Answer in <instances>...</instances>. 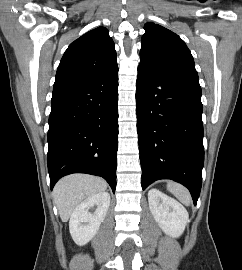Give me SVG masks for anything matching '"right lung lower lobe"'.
Instances as JSON below:
<instances>
[{
    "instance_id": "right-lung-lower-lobe-1",
    "label": "right lung lower lobe",
    "mask_w": 242,
    "mask_h": 270,
    "mask_svg": "<svg viewBox=\"0 0 242 270\" xmlns=\"http://www.w3.org/2000/svg\"><path fill=\"white\" fill-rule=\"evenodd\" d=\"M118 66L52 95L48 131L50 187L63 176L87 173L116 189Z\"/></svg>"
}]
</instances>
